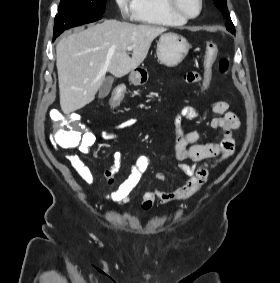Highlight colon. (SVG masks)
Segmentation results:
<instances>
[{
    "label": "colon",
    "instance_id": "5ec220e1",
    "mask_svg": "<svg viewBox=\"0 0 280 283\" xmlns=\"http://www.w3.org/2000/svg\"><path fill=\"white\" fill-rule=\"evenodd\" d=\"M218 54V48L215 42H208L204 49V65L207 70L202 71L200 78V87H196V92H209V83L215 74L214 70H209L215 62ZM229 68V59L223 57L219 61V70L226 73ZM113 95L110 98L112 106L117 105L124 93L126 87H113ZM54 130L52 131V140L58 147L72 149L80 144L81 132H88V127H78L73 125L68 119H81L78 110H56L51 111Z\"/></svg>",
    "mask_w": 280,
    "mask_h": 283
}]
</instances>
